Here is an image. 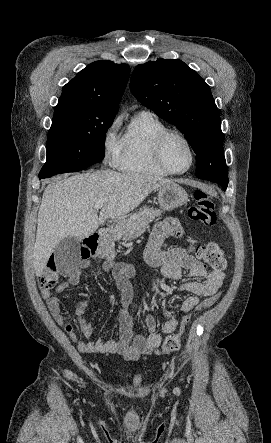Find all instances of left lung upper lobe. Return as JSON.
I'll use <instances>...</instances> for the list:
<instances>
[{
  "label": "left lung upper lobe",
  "mask_w": 271,
  "mask_h": 443,
  "mask_svg": "<svg viewBox=\"0 0 271 443\" xmlns=\"http://www.w3.org/2000/svg\"><path fill=\"white\" fill-rule=\"evenodd\" d=\"M130 89L139 102L184 133L196 153V176L225 191L221 120L210 87L198 73L181 60L150 61L134 69Z\"/></svg>",
  "instance_id": "left-lung-upper-lobe-1"
}]
</instances>
